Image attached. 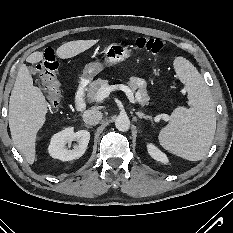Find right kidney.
<instances>
[{
    "label": "right kidney",
    "instance_id": "1",
    "mask_svg": "<svg viewBox=\"0 0 233 233\" xmlns=\"http://www.w3.org/2000/svg\"><path fill=\"white\" fill-rule=\"evenodd\" d=\"M89 139L90 133L86 130L74 132L73 128H66L51 138L48 151L52 158L71 161L85 153ZM72 141L77 142L74 149H67L65 145Z\"/></svg>",
    "mask_w": 233,
    "mask_h": 233
}]
</instances>
